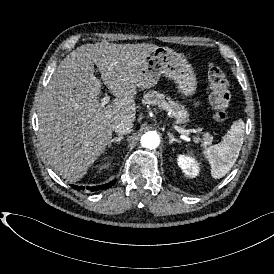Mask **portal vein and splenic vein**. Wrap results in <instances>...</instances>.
Returning a JSON list of instances; mask_svg holds the SVG:
<instances>
[{"mask_svg":"<svg viewBox=\"0 0 274 274\" xmlns=\"http://www.w3.org/2000/svg\"><path fill=\"white\" fill-rule=\"evenodd\" d=\"M110 99H111V97L109 95H105L102 98L101 103L103 105H106L110 102ZM176 130L182 134V136H183L182 139H185L186 136H189L190 132H191L190 130H187V129H184V128H181V127H176Z\"/></svg>","mask_w":274,"mask_h":274,"instance_id":"1","label":"portal vein and splenic vein"}]
</instances>
